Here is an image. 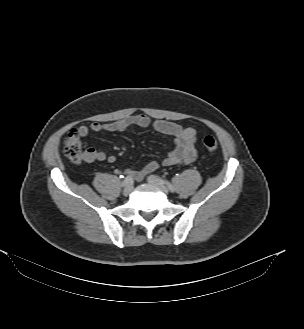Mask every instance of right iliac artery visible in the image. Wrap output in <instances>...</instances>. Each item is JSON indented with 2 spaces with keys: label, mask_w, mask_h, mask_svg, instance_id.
I'll use <instances>...</instances> for the list:
<instances>
[{
  "label": "right iliac artery",
  "mask_w": 304,
  "mask_h": 329,
  "mask_svg": "<svg viewBox=\"0 0 304 329\" xmlns=\"http://www.w3.org/2000/svg\"><path fill=\"white\" fill-rule=\"evenodd\" d=\"M132 182V177L129 175V176H127L124 180H123V182H122V186H126V185H128L129 183H131Z\"/></svg>",
  "instance_id": "right-iliac-artery-1"
}]
</instances>
